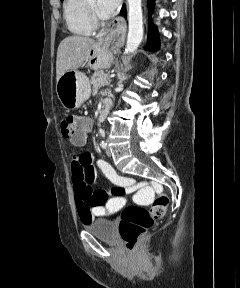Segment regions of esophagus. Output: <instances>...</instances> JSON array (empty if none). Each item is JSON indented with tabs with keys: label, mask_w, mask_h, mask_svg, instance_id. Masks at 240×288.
<instances>
[{
	"label": "esophagus",
	"mask_w": 240,
	"mask_h": 288,
	"mask_svg": "<svg viewBox=\"0 0 240 288\" xmlns=\"http://www.w3.org/2000/svg\"><path fill=\"white\" fill-rule=\"evenodd\" d=\"M119 25H120V19H119V18H116L115 20H113L110 30L115 29V28L118 27ZM107 33H108V30H103V31H101L100 34H99V40L102 41V40L104 39V36H105Z\"/></svg>",
	"instance_id": "1"
}]
</instances>
